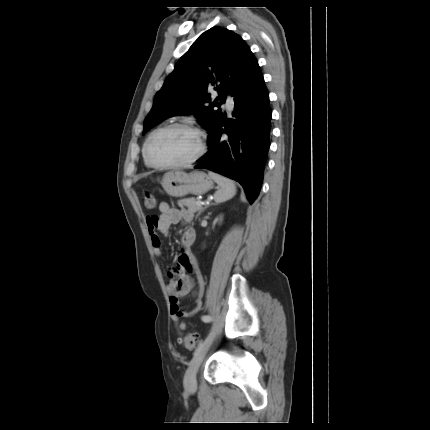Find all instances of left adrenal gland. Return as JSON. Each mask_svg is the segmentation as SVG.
I'll return each mask as SVG.
<instances>
[{
    "mask_svg": "<svg viewBox=\"0 0 430 430\" xmlns=\"http://www.w3.org/2000/svg\"><path fill=\"white\" fill-rule=\"evenodd\" d=\"M210 205H215V204H214V203H212V204H210ZM210 205H209V206H210ZM207 207H208V206H205V207L203 208V210H202V211H204ZM202 211H200V212L197 214L196 218L201 214V212H202Z\"/></svg>",
    "mask_w": 430,
    "mask_h": 430,
    "instance_id": "1",
    "label": "left adrenal gland"
}]
</instances>
